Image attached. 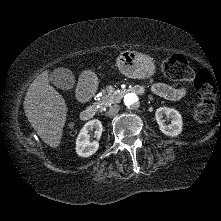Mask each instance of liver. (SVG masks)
<instances>
[{"label": "liver", "mask_w": 221, "mask_h": 221, "mask_svg": "<svg viewBox=\"0 0 221 221\" xmlns=\"http://www.w3.org/2000/svg\"><path fill=\"white\" fill-rule=\"evenodd\" d=\"M49 81L47 70L36 77L27 90L24 109L28 121L42 141L57 148L63 135L68 108L62 95Z\"/></svg>", "instance_id": "obj_1"}]
</instances>
